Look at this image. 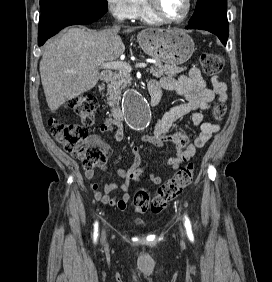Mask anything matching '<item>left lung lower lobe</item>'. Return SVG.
I'll return each instance as SVG.
<instances>
[{
  "label": "left lung lower lobe",
  "mask_w": 272,
  "mask_h": 282,
  "mask_svg": "<svg viewBox=\"0 0 272 282\" xmlns=\"http://www.w3.org/2000/svg\"><path fill=\"white\" fill-rule=\"evenodd\" d=\"M185 29L207 30L226 45L229 35L226 0H198L193 17Z\"/></svg>",
  "instance_id": "1"
}]
</instances>
